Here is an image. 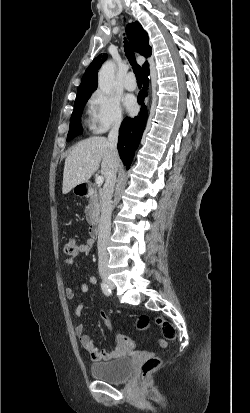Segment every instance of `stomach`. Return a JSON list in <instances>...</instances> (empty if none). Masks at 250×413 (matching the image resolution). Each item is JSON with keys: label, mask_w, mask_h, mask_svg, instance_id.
Listing matches in <instances>:
<instances>
[{"label": "stomach", "mask_w": 250, "mask_h": 413, "mask_svg": "<svg viewBox=\"0 0 250 413\" xmlns=\"http://www.w3.org/2000/svg\"><path fill=\"white\" fill-rule=\"evenodd\" d=\"M80 185V184H79ZM78 186V185H77ZM73 192H74V194H79L77 191H76V186L73 188Z\"/></svg>", "instance_id": "stomach-1"}]
</instances>
